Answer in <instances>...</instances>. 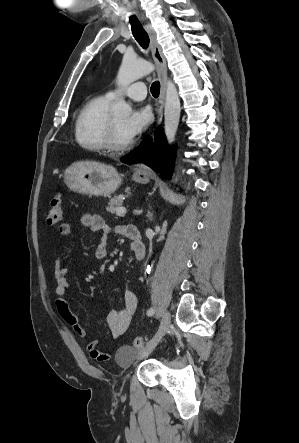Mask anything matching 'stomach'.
Here are the masks:
<instances>
[{
    "label": "stomach",
    "mask_w": 299,
    "mask_h": 443,
    "mask_svg": "<svg viewBox=\"0 0 299 443\" xmlns=\"http://www.w3.org/2000/svg\"><path fill=\"white\" fill-rule=\"evenodd\" d=\"M132 178L142 184L149 182L147 173L135 172ZM64 183L73 192L109 196L121 185L122 179L112 166L78 162L66 169Z\"/></svg>",
    "instance_id": "0dacf381"
}]
</instances>
